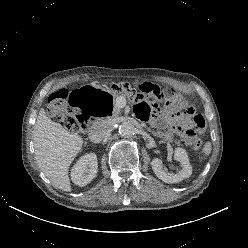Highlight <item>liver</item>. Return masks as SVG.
Masks as SVG:
<instances>
[{"mask_svg": "<svg viewBox=\"0 0 248 248\" xmlns=\"http://www.w3.org/2000/svg\"><path fill=\"white\" fill-rule=\"evenodd\" d=\"M33 140L35 160L41 171L56 187L71 191L69 166L80 152L83 139L53 122L41 109L34 125Z\"/></svg>", "mask_w": 248, "mask_h": 248, "instance_id": "1", "label": "liver"}]
</instances>
